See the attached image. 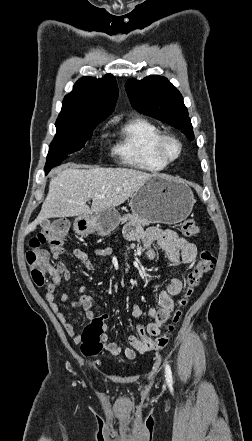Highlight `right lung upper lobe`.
I'll list each match as a JSON object with an SVG mask.
<instances>
[{
    "label": "right lung upper lobe",
    "mask_w": 252,
    "mask_h": 441,
    "mask_svg": "<svg viewBox=\"0 0 252 441\" xmlns=\"http://www.w3.org/2000/svg\"><path fill=\"white\" fill-rule=\"evenodd\" d=\"M117 97V83L111 74L100 79L82 77L65 96L59 117L103 121L113 111Z\"/></svg>",
    "instance_id": "right-lung-upper-lobe-1"
}]
</instances>
